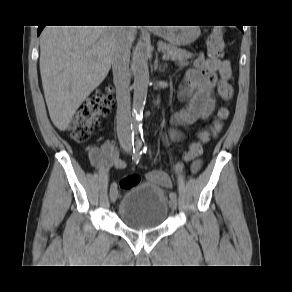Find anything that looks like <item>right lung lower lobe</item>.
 I'll return each mask as SVG.
<instances>
[{"label":"right lung lower lobe","instance_id":"right-lung-lower-lobe-1","mask_svg":"<svg viewBox=\"0 0 292 292\" xmlns=\"http://www.w3.org/2000/svg\"><path fill=\"white\" fill-rule=\"evenodd\" d=\"M43 28H44V26H39L38 27V32H37L38 35L41 33V31L43 30Z\"/></svg>","mask_w":292,"mask_h":292}]
</instances>
